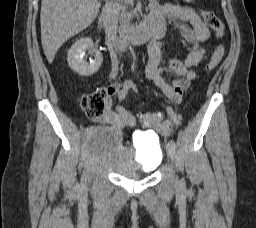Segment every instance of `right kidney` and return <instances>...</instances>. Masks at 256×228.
Wrapping results in <instances>:
<instances>
[{
    "mask_svg": "<svg viewBox=\"0 0 256 228\" xmlns=\"http://www.w3.org/2000/svg\"><path fill=\"white\" fill-rule=\"evenodd\" d=\"M94 53V60L87 62L84 59L86 51ZM70 68L78 75L88 77L95 74L103 61L100 51H98L90 38H81L77 40L68 51L67 56Z\"/></svg>",
    "mask_w": 256,
    "mask_h": 228,
    "instance_id": "ca27d5eb",
    "label": "right kidney"
}]
</instances>
